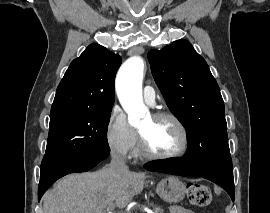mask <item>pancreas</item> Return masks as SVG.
Returning <instances> with one entry per match:
<instances>
[{
    "label": "pancreas",
    "instance_id": "cf45deb5",
    "mask_svg": "<svg viewBox=\"0 0 270 213\" xmlns=\"http://www.w3.org/2000/svg\"><path fill=\"white\" fill-rule=\"evenodd\" d=\"M149 206L153 208L154 213H164V210L161 207L154 205L153 203H151Z\"/></svg>",
    "mask_w": 270,
    "mask_h": 213
}]
</instances>
